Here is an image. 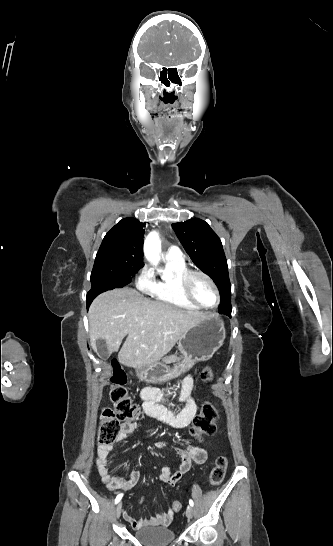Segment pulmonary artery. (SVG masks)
Segmentation results:
<instances>
[{"label": "pulmonary artery", "mask_w": 333, "mask_h": 546, "mask_svg": "<svg viewBox=\"0 0 333 546\" xmlns=\"http://www.w3.org/2000/svg\"><path fill=\"white\" fill-rule=\"evenodd\" d=\"M166 259L171 260H184L183 253L177 246H171L168 248L165 254Z\"/></svg>", "instance_id": "e3ab8cb5"}]
</instances>
